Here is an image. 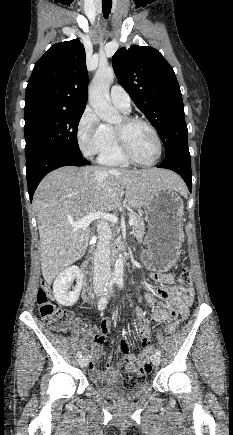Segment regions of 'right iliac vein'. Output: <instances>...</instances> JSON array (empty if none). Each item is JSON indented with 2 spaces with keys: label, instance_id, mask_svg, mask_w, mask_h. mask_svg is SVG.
Masks as SVG:
<instances>
[{
  "label": "right iliac vein",
  "instance_id": "63e3f726",
  "mask_svg": "<svg viewBox=\"0 0 233 435\" xmlns=\"http://www.w3.org/2000/svg\"><path fill=\"white\" fill-rule=\"evenodd\" d=\"M102 293H103V290L98 292L99 295H102ZM79 364L81 367H86L88 364V357L86 355L79 357Z\"/></svg>",
  "mask_w": 233,
  "mask_h": 435
}]
</instances>
